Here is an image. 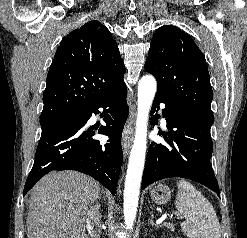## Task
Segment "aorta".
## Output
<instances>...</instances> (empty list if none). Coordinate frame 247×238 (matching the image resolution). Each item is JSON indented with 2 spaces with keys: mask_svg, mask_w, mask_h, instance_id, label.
<instances>
[{
  "mask_svg": "<svg viewBox=\"0 0 247 238\" xmlns=\"http://www.w3.org/2000/svg\"><path fill=\"white\" fill-rule=\"evenodd\" d=\"M157 83L153 76H143L138 84V113L134 143L131 149L124 189V220L132 229L138 207L140 184L147 146V123Z\"/></svg>",
  "mask_w": 247,
  "mask_h": 238,
  "instance_id": "1",
  "label": "aorta"
}]
</instances>
